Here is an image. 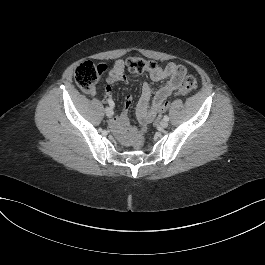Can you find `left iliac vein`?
Masks as SVG:
<instances>
[{
  "mask_svg": "<svg viewBox=\"0 0 265 265\" xmlns=\"http://www.w3.org/2000/svg\"><path fill=\"white\" fill-rule=\"evenodd\" d=\"M160 126L163 127V128H166V127L168 126V121L162 119V120L160 121Z\"/></svg>",
  "mask_w": 265,
  "mask_h": 265,
  "instance_id": "obj_1",
  "label": "left iliac vein"
}]
</instances>
